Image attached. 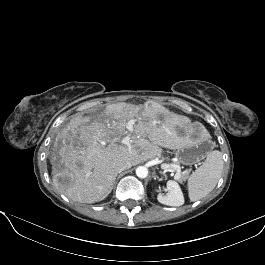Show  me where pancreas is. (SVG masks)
I'll use <instances>...</instances> for the list:
<instances>
[{
    "mask_svg": "<svg viewBox=\"0 0 265 265\" xmlns=\"http://www.w3.org/2000/svg\"><path fill=\"white\" fill-rule=\"evenodd\" d=\"M177 165V164H176ZM171 170H173V168H170ZM188 170H186V171H184V172H182L181 174H180V177L178 178L180 181H182V180H185L186 178H187V176H188Z\"/></svg>",
    "mask_w": 265,
    "mask_h": 265,
    "instance_id": "pancreas-1",
    "label": "pancreas"
}]
</instances>
